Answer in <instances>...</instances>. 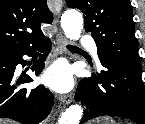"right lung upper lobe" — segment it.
<instances>
[{
  "label": "right lung upper lobe",
  "mask_w": 145,
  "mask_h": 124,
  "mask_svg": "<svg viewBox=\"0 0 145 124\" xmlns=\"http://www.w3.org/2000/svg\"><path fill=\"white\" fill-rule=\"evenodd\" d=\"M46 1L0 0V52L26 49L46 38L41 24L53 20Z\"/></svg>",
  "instance_id": "obj_1"
}]
</instances>
